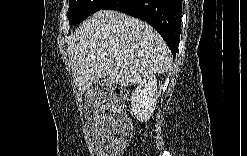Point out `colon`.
Instances as JSON below:
<instances>
[{
    "mask_svg": "<svg viewBox=\"0 0 247 156\" xmlns=\"http://www.w3.org/2000/svg\"><path fill=\"white\" fill-rule=\"evenodd\" d=\"M116 96H117L118 98L127 100V99L129 98V91H128L126 88L119 87V88H117V90H116Z\"/></svg>",
    "mask_w": 247,
    "mask_h": 156,
    "instance_id": "1",
    "label": "colon"
}]
</instances>
